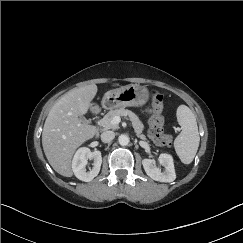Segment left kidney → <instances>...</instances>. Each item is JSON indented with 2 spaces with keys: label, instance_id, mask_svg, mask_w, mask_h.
<instances>
[{
  "label": "left kidney",
  "instance_id": "obj_1",
  "mask_svg": "<svg viewBox=\"0 0 243 243\" xmlns=\"http://www.w3.org/2000/svg\"><path fill=\"white\" fill-rule=\"evenodd\" d=\"M159 163L165 167V172H161L155 166V161L152 159H143L142 164L146 174L155 181L172 182L176 178L174 162L171 155L163 153L159 156Z\"/></svg>",
  "mask_w": 243,
  "mask_h": 243
}]
</instances>
